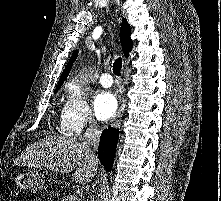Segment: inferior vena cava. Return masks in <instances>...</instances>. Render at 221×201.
I'll return each instance as SVG.
<instances>
[{
	"instance_id": "inferior-vena-cava-1",
	"label": "inferior vena cava",
	"mask_w": 221,
	"mask_h": 201,
	"mask_svg": "<svg viewBox=\"0 0 221 201\" xmlns=\"http://www.w3.org/2000/svg\"><path fill=\"white\" fill-rule=\"evenodd\" d=\"M101 131L98 130L94 124H92L89 128H87L85 132V140L84 143L88 146H91L94 148V150H97L99 145ZM91 155L93 158H96L94 152H91Z\"/></svg>"
}]
</instances>
